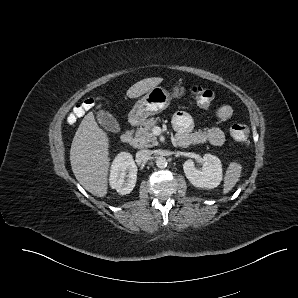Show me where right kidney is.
<instances>
[{"label": "right kidney", "mask_w": 298, "mask_h": 298, "mask_svg": "<svg viewBox=\"0 0 298 298\" xmlns=\"http://www.w3.org/2000/svg\"><path fill=\"white\" fill-rule=\"evenodd\" d=\"M136 176L137 166L132 154L127 151L117 153L109 168V186L118 194L125 195L133 190Z\"/></svg>", "instance_id": "right-kidney-1"}]
</instances>
